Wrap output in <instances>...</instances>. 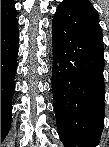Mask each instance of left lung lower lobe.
<instances>
[{"label":"left lung lower lobe","instance_id":"1","mask_svg":"<svg viewBox=\"0 0 109 147\" xmlns=\"http://www.w3.org/2000/svg\"><path fill=\"white\" fill-rule=\"evenodd\" d=\"M52 38L56 58L52 91L60 139L66 146L96 147L105 114L99 20L62 2L53 18ZM70 76H74L73 85Z\"/></svg>","mask_w":109,"mask_h":147}]
</instances>
